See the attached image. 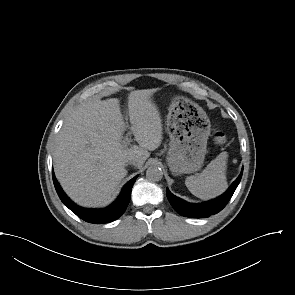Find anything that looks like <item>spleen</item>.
<instances>
[{"instance_id": "3e777b00", "label": "spleen", "mask_w": 295, "mask_h": 295, "mask_svg": "<svg viewBox=\"0 0 295 295\" xmlns=\"http://www.w3.org/2000/svg\"><path fill=\"white\" fill-rule=\"evenodd\" d=\"M227 152L220 153L198 176L185 180L188 190L200 199H211L222 194L228 187L226 181Z\"/></svg>"}]
</instances>
